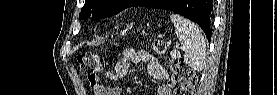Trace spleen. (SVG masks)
<instances>
[{
  "label": "spleen",
  "instance_id": "obj_1",
  "mask_svg": "<svg viewBox=\"0 0 277 95\" xmlns=\"http://www.w3.org/2000/svg\"><path fill=\"white\" fill-rule=\"evenodd\" d=\"M170 18L174 23L175 34L184 50V62L193 70H203L206 58V43L199 28L177 14H172Z\"/></svg>",
  "mask_w": 277,
  "mask_h": 95
}]
</instances>
